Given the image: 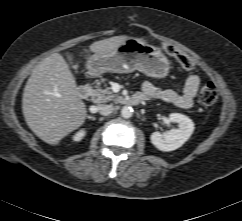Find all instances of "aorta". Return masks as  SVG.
I'll return each instance as SVG.
<instances>
[{
  "instance_id": "1",
  "label": "aorta",
  "mask_w": 242,
  "mask_h": 221,
  "mask_svg": "<svg viewBox=\"0 0 242 221\" xmlns=\"http://www.w3.org/2000/svg\"><path fill=\"white\" fill-rule=\"evenodd\" d=\"M121 115L123 118H130L133 115V109L130 106H124L121 110Z\"/></svg>"
}]
</instances>
